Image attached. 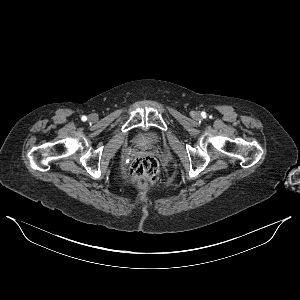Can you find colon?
<instances>
[{"instance_id":"colon-1","label":"colon","mask_w":300,"mask_h":300,"mask_svg":"<svg viewBox=\"0 0 300 300\" xmlns=\"http://www.w3.org/2000/svg\"><path fill=\"white\" fill-rule=\"evenodd\" d=\"M159 165L153 156L143 155L135 158L129 169V177L137 185L152 184L159 179Z\"/></svg>"}]
</instances>
